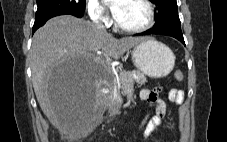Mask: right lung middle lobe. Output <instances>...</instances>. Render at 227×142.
<instances>
[{
	"instance_id": "dd1d6c3e",
	"label": "right lung middle lobe",
	"mask_w": 227,
	"mask_h": 142,
	"mask_svg": "<svg viewBox=\"0 0 227 142\" xmlns=\"http://www.w3.org/2000/svg\"><path fill=\"white\" fill-rule=\"evenodd\" d=\"M36 17L57 11L84 12L85 0H37Z\"/></svg>"
}]
</instances>
